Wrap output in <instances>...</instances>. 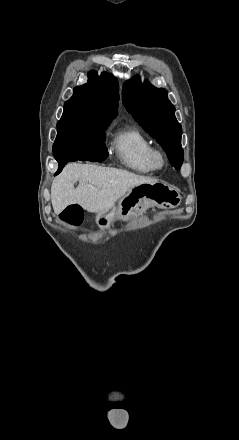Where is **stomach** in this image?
<instances>
[{
    "label": "stomach",
    "instance_id": "obj_1",
    "mask_svg": "<svg viewBox=\"0 0 239 440\" xmlns=\"http://www.w3.org/2000/svg\"><path fill=\"white\" fill-rule=\"evenodd\" d=\"M180 202L181 198L178 192L162 182L142 184L122 196L117 208L110 206L105 212H99L96 216V224L100 230H106L112 226L117 218L127 222L131 216L144 214L151 204H157L160 208H176Z\"/></svg>",
    "mask_w": 239,
    "mask_h": 440
}]
</instances>
